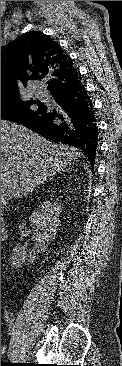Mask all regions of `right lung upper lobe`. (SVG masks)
<instances>
[{"label": "right lung upper lobe", "mask_w": 122, "mask_h": 366, "mask_svg": "<svg viewBox=\"0 0 122 366\" xmlns=\"http://www.w3.org/2000/svg\"><path fill=\"white\" fill-rule=\"evenodd\" d=\"M72 59L59 43L40 31L29 32L1 50V94H17L18 86L32 80H44L48 88L56 87L77 76Z\"/></svg>", "instance_id": "obj_1"}]
</instances>
